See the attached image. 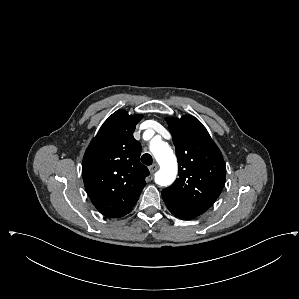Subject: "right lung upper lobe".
<instances>
[{"label":"right lung upper lobe","mask_w":299,"mask_h":299,"mask_svg":"<svg viewBox=\"0 0 299 299\" xmlns=\"http://www.w3.org/2000/svg\"><path fill=\"white\" fill-rule=\"evenodd\" d=\"M142 115L117 110L101 126L87 148L82 174L88 196L97 210L109 218L131 211L149 175L140 163L141 145L133 132Z\"/></svg>","instance_id":"right-lung-upper-lobe-1"}]
</instances>
